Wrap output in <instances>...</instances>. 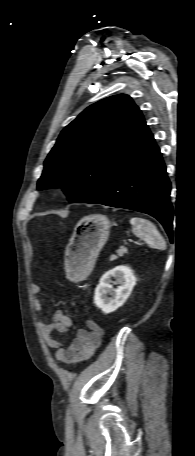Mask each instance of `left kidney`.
<instances>
[{
  "label": "left kidney",
  "mask_w": 195,
  "mask_h": 456,
  "mask_svg": "<svg viewBox=\"0 0 195 456\" xmlns=\"http://www.w3.org/2000/svg\"><path fill=\"white\" fill-rule=\"evenodd\" d=\"M112 278L119 284L116 289L111 285ZM135 285L136 277L132 270L126 266H117L101 277L95 289L94 303L105 314L114 312L126 302Z\"/></svg>",
  "instance_id": "obj_1"
}]
</instances>
